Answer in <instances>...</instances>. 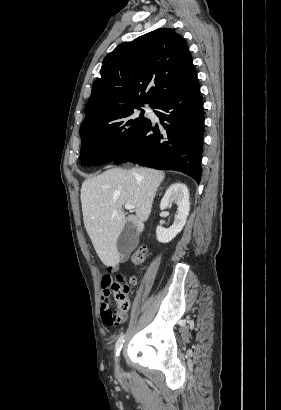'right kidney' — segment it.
Masks as SVG:
<instances>
[{
  "label": "right kidney",
  "instance_id": "1",
  "mask_svg": "<svg viewBox=\"0 0 281 410\" xmlns=\"http://www.w3.org/2000/svg\"><path fill=\"white\" fill-rule=\"evenodd\" d=\"M173 202L177 205V214L175 215L173 225L168 229L162 226H157L156 228V237L161 243L170 242L179 232H181L186 224L190 210V202L189 190L185 184L180 182L172 184L161 200L160 209H166L171 206Z\"/></svg>",
  "mask_w": 281,
  "mask_h": 410
}]
</instances>
